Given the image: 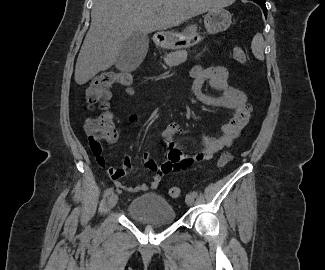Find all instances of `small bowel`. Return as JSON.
<instances>
[{
    "instance_id": "c3829d8e",
    "label": "small bowel",
    "mask_w": 325,
    "mask_h": 270,
    "mask_svg": "<svg viewBox=\"0 0 325 270\" xmlns=\"http://www.w3.org/2000/svg\"><path fill=\"white\" fill-rule=\"evenodd\" d=\"M190 75L193 78L191 93L194 99L204 106L228 108L233 112L232 118L222 125L219 137L202 135L203 148L193 155H184L185 146L178 140V136L187 133V130L176 122L168 124L162 133L161 139L166 160L158 164L149 152H144L142 155L144 167L153 173V177L148 184L125 186L119 181L132 169L128 157L123 158L122 167H108L103 155L95 157L98 165L107 170L119 188L131 193L153 190L158 187L163 177L170 171L185 169L191 166L194 161L209 160L223 148L229 147L245 127L251 112V106L246 104L245 94L241 90L228 84L227 71L223 66L196 65L192 68ZM206 83L213 90L220 92V95L212 96L204 93L202 88ZM129 119L131 122H136L138 115L131 114Z\"/></svg>"
}]
</instances>
